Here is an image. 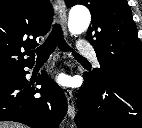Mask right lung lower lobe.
<instances>
[{
	"instance_id": "1",
	"label": "right lung lower lobe",
	"mask_w": 142,
	"mask_h": 128,
	"mask_svg": "<svg viewBox=\"0 0 142 128\" xmlns=\"http://www.w3.org/2000/svg\"><path fill=\"white\" fill-rule=\"evenodd\" d=\"M25 75L22 69L10 83L0 86V120L31 128H58L67 113L64 92L44 71L36 80L40 89L34 88V82H28Z\"/></svg>"
}]
</instances>
